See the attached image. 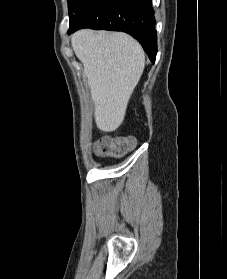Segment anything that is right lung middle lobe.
<instances>
[{"mask_svg": "<svg viewBox=\"0 0 227 279\" xmlns=\"http://www.w3.org/2000/svg\"><path fill=\"white\" fill-rule=\"evenodd\" d=\"M88 0H68L69 27L73 25L80 10Z\"/></svg>", "mask_w": 227, "mask_h": 279, "instance_id": "right-lung-middle-lobe-1", "label": "right lung middle lobe"}]
</instances>
